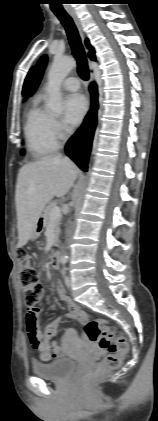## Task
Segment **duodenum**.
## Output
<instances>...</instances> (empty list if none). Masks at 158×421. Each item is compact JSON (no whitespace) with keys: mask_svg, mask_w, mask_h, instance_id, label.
Listing matches in <instances>:
<instances>
[{"mask_svg":"<svg viewBox=\"0 0 158 421\" xmlns=\"http://www.w3.org/2000/svg\"><path fill=\"white\" fill-rule=\"evenodd\" d=\"M61 262V253L56 251L51 256V264L54 268H58Z\"/></svg>","mask_w":158,"mask_h":421,"instance_id":"obj_1","label":"duodenum"}]
</instances>
